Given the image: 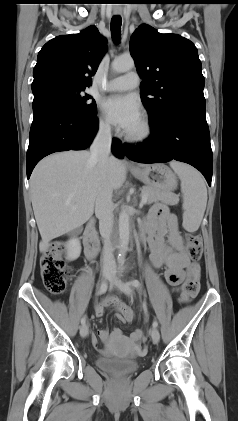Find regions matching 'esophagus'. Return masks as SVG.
I'll return each mask as SVG.
<instances>
[{
    "instance_id": "esophagus-1",
    "label": "esophagus",
    "mask_w": 238,
    "mask_h": 421,
    "mask_svg": "<svg viewBox=\"0 0 238 421\" xmlns=\"http://www.w3.org/2000/svg\"><path fill=\"white\" fill-rule=\"evenodd\" d=\"M115 14L116 15H120L121 13L120 12H115ZM126 164H127V166H129V167H133L134 165H133V163L132 162H130V161H126Z\"/></svg>"
}]
</instances>
